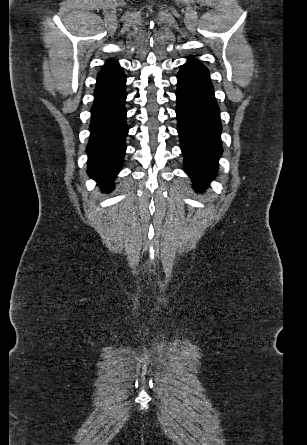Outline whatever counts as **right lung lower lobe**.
<instances>
[{"label":"right lung lower lobe","mask_w":307,"mask_h":445,"mask_svg":"<svg viewBox=\"0 0 307 445\" xmlns=\"http://www.w3.org/2000/svg\"><path fill=\"white\" fill-rule=\"evenodd\" d=\"M125 83L126 76L118 64L101 70L97 76L91 108V135L86 149L87 172L104 191L112 190L126 150Z\"/></svg>","instance_id":"right-lung-lower-lobe-1"}]
</instances>
